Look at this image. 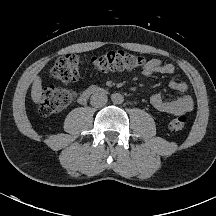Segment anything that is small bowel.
I'll return each instance as SVG.
<instances>
[{
  "label": "small bowel",
  "mask_w": 216,
  "mask_h": 216,
  "mask_svg": "<svg viewBox=\"0 0 216 216\" xmlns=\"http://www.w3.org/2000/svg\"><path fill=\"white\" fill-rule=\"evenodd\" d=\"M175 66L171 63L162 62L160 59H150L142 69V74L152 76L155 74L173 75ZM170 88L177 90L181 95L172 100H165L161 94H155L150 99L151 106L159 111L170 115L189 113L194 108V101L189 94V85L185 81L171 78L168 82ZM81 101V100H80Z\"/></svg>",
  "instance_id": "small-bowel-1"
}]
</instances>
